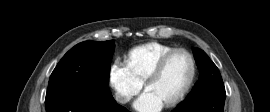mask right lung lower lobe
<instances>
[{"label":"right lung lower lobe","instance_id":"obj_1","mask_svg":"<svg viewBox=\"0 0 270 112\" xmlns=\"http://www.w3.org/2000/svg\"><path fill=\"white\" fill-rule=\"evenodd\" d=\"M45 107L46 112H130L112 96L102 98L70 86L46 96Z\"/></svg>","mask_w":270,"mask_h":112}]
</instances>
